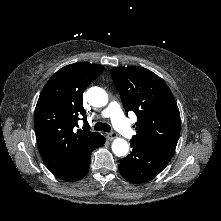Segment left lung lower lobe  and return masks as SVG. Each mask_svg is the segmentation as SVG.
I'll use <instances>...</instances> for the list:
<instances>
[{"label": "left lung lower lobe", "instance_id": "0a47b994", "mask_svg": "<svg viewBox=\"0 0 221 221\" xmlns=\"http://www.w3.org/2000/svg\"><path fill=\"white\" fill-rule=\"evenodd\" d=\"M131 147L132 152L120 160L118 169L123 178L134 184L153 179L172 158L137 142L131 141Z\"/></svg>", "mask_w": 221, "mask_h": 221}]
</instances>
